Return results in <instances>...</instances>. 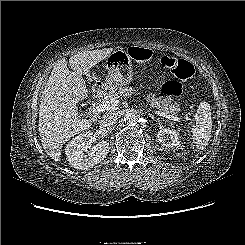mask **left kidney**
Segmentation results:
<instances>
[{
    "instance_id": "left-kidney-1",
    "label": "left kidney",
    "mask_w": 245,
    "mask_h": 245,
    "mask_svg": "<svg viewBox=\"0 0 245 245\" xmlns=\"http://www.w3.org/2000/svg\"><path fill=\"white\" fill-rule=\"evenodd\" d=\"M158 141L163 147L172 148L180 146L179 134L170 128H161L157 134Z\"/></svg>"
}]
</instances>
